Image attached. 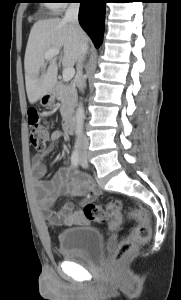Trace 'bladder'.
Wrapping results in <instances>:
<instances>
[{"mask_svg":"<svg viewBox=\"0 0 181 300\" xmlns=\"http://www.w3.org/2000/svg\"><path fill=\"white\" fill-rule=\"evenodd\" d=\"M58 242L63 257L80 261L99 257L104 248L101 232L90 226L67 228L59 235Z\"/></svg>","mask_w":181,"mask_h":300,"instance_id":"bladder-1","label":"bladder"}]
</instances>
